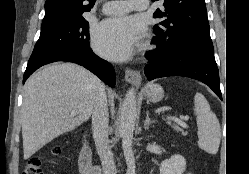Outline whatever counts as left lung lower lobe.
I'll return each mask as SVG.
<instances>
[{
	"label": "left lung lower lobe",
	"mask_w": 249,
	"mask_h": 174,
	"mask_svg": "<svg viewBox=\"0 0 249 174\" xmlns=\"http://www.w3.org/2000/svg\"><path fill=\"white\" fill-rule=\"evenodd\" d=\"M158 48L146 53L149 65L145 75L148 80L165 76H184L207 84L222 99L219 71L214 58L213 44H204L184 51L168 52L158 41Z\"/></svg>",
	"instance_id": "obj_1"
}]
</instances>
